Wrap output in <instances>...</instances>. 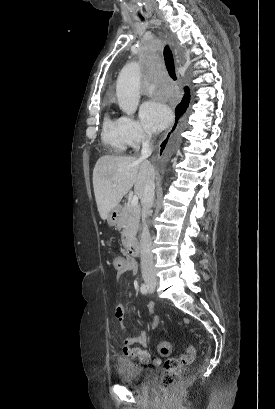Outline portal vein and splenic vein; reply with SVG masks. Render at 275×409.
Listing matches in <instances>:
<instances>
[{
  "instance_id": "obj_1",
  "label": "portal vein and splenic vein",
  "mask_w": 275,
  "mask_h": 409,
  "mask_svg": "<svg viewBox=\"0 0 275 409\" xmlns=\"http://www.w3.org/2000/svg\"><path fill=\"white\" fill-rule=\"evenodd\" d=\"M113 186H116V184H113ZM138 196L137 194H134V196H132V200H131V205H133V207H136V205H138Z\"/></svg>"
}]
</instances>
